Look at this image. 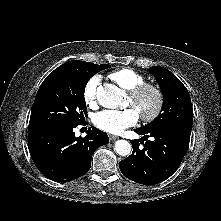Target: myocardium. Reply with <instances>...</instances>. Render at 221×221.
<instances>
[{"label": "myocardium", "mask_w": 221, "mask_h": 221, "mask_svg": "<svg viewBox=\"0 0 221 221\" xmlns=\"http://www.w3.org/2000/svg\"><path fill=\"white\" fill-rule=\"evenodd\" d=\"M151 92L155 96V106L150 113L139 114L145 122L156 120L162 113L165 104V95L162 88L154 83H143L129 91V98L133 103L141 99L146 93Z\"/></svg>", "instance_id": "myocardium-1"}]
</instances>
